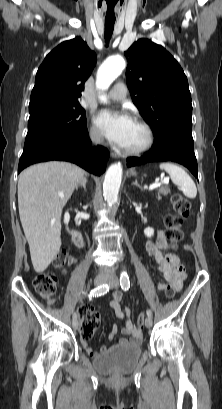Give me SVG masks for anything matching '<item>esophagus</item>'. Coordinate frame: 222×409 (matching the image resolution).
I'll return each mask as SVG.
<instances>
[{
    "mask_svg": "<svg viewBox=\"0 0 222 409\" xmlns=\"http://www.w3.org/2000/svg\"><path fill=\"white\" fill-rule=\"evenodd\" d=\"M111 156H112L113 158H118V157H119V154H118V153H115V152H112V153H111Z\"/></svg>",
    "mask_w": 222,
    "mask_h": 409,
    "instance_id": "obj_1",
    "label": "esophagus"
}]
</instances>
